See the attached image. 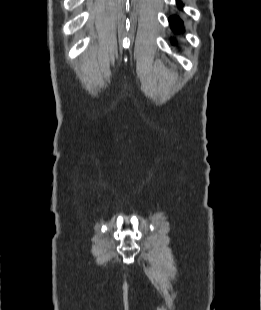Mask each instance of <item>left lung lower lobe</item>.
Returning a JSON list of instances; mask_svg holds the SVG:
<instances>
[{"mask_svg":"<svg viewBox=\"0 0 261 310\" xmlns=\"http://www.w3.org/2000/svg\"><path fill=\"white\" fill-rule=\"evenodd\" d=\"M178 4L181 5L180 0H178ZM169 22H170V25H171L173 31L178 32V31L182 30L183 23H182V21L179 18L171 17L169 19Z\"/></svg>","mask_w":261,"mask_h":310,"instance_id":"left-lung-lower-lobe-1","label":"left lung lower lobe"}]
</instances>
